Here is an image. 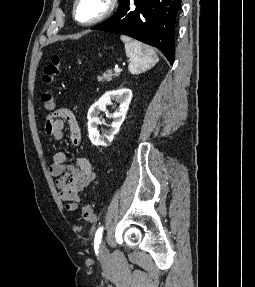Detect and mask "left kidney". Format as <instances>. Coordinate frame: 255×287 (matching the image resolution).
<instances>
[{"label":"left kidney","instance_id":"1","mask_svg":"<svg viewBox=\"0 0 255 287\" xmlns=\"http://www.w3.org/2000/svg\"><path fill=\"white\" fill-rule=\"evenodd\" d=\"M112 100H115L119 104V108L115 110L114 114H110L109 118H113V122L110 126L111 130L105 132L100 136L98 126L103 124L101 122L100 112H106V106L112 104ZM132 100L131 90L127 88H121V90H111V92H106L98 102H95L91 108L88 110L87 120H88V134L89 138L94 145H109L112 142L115 134H118L122 122L125 120V116L128 112L129 104Z\"/></svg>","mask_w":255,"mask_h":287}]
</instances>
